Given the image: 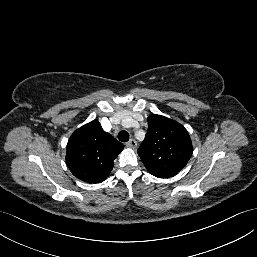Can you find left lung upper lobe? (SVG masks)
Returning <instances> with one entry per match:
<instances>
[{"label":"left lung upper lobe","mask_w":257,"mask_h":257,"mask_svg":"<svg viewBox=\"0 0 257 257\" xmlns=\"http://www.w3.org/2000/svg\"><path fill=\"white\" fill-rule=\"evenodd\" d=\"M148 131L138 149L146 169L158 178H170L189 161L193 147L188 131L180 123L152 114Z\"/></svg>","instance_id":"1"}]
</instances>
